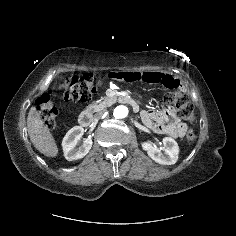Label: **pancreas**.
Wrapping results in <instances>:
<instances>
[{
  "instance_id": "pancreas-1",
  "label": "pancreas",
  "mask_w": 236,
  "mask_h": 236,
  "mask_svg": "<svg viewBox=\"0 0 236 236\" xmlns=\"http://www.w3.org/2000/svg\"><path fill=\"white\" fill-rule=\"evenodd\" d=\"M110 104V99L107 97H101V99L92 102L89 106H87L88 111L98 112Z\"/></svg>"
}]
</instances>
